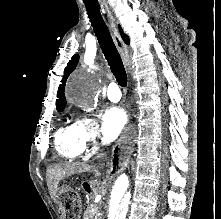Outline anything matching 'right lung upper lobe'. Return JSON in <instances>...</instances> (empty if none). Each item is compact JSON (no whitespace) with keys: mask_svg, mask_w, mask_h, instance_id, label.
I'll list each match as a JSON object with an SVG mask.
<instances>
[{"mask_svg":"<svg viewBox=\"0 0 221 219\" xmlns=\"http://www.w3.org/2000/svg\"><path fill=\"white\" fill-rule=\"evenodd\" d=\"M119 30H120V34H121V37H122L123 41L126 44H129V37L126 34L123 33L120 26H119ZM78 59H79V56L74 55L72 57V59L68 62L67 67L65 68L64 77L61 81L62 84H60L59 89H58V93H57L58 99L56 100V109L59 112H61L65 108L66 99H65V95H64V86H65V83H66V80H67L68 76L76 68L77 63H78Z\"/></svg>","mask_w":221,"mask_h":219,"instance_id":"obj_1","label":"right lung upper lobe"}]
</instances>
